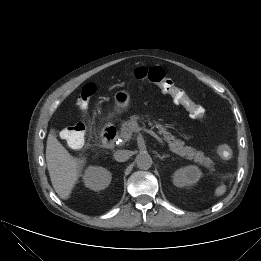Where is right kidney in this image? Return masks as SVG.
Returning <instances> with one entry per match:
<instances>
[{
    "label": "right kidney",
    "mask_w": 261,
    "mask_h": 261,
    "mask_svg": "<svg viewBox=\"0 0 261 261\" xmlns=\"http://www.w3.org/2000/svg\"><path fill=\"white\" fill-rule=\"evenodd\" d=\"M85 186L100 191L109 186L112 176L111 173L103 167L89 166L83 176Z\"/></svg>",
    "instance_id": "right-kidney-1"
}]
</instances>
